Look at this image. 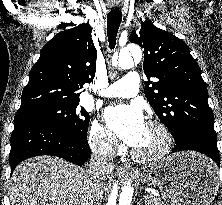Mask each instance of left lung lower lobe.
Here are the masks:
<instances>
[{
  "label": "left lung lower lobe",
  "mask_w": 222,
  "mask_h": 205,
  "mask_svg": "<svg viewBox=\"0 0 222 205\" xmlns=\"http://www.w3.org/2000/svg\"><path fill=\"white\" fill-rule=\"evenodd\" d=\"M193 150L205 154L215 161L220 167V157L217 148L216 133L203 128H195L185 131L175 139L173 152Z\"/></svg>",
  "instance_id": "obj_1"
}]
</instances>
